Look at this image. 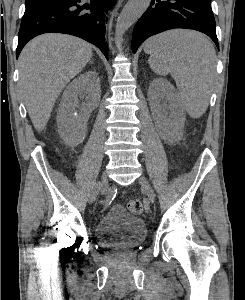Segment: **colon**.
<instances>
[{
  "label": "colon",
  "instance_id": "colon-1",
  "mask_svg": "<svg viewBox=\"0 0 245 300\" xmlns=\"http://www.w3.org/2000/svg\"><path fill=\"white\" fill-rule=\"evenodd\" d=\"M128 209L133 214H141L143 211V204L139 199H132L128 203Z\"/></svg>",
  "mask_w": 245,
  "mask_h": 300
}]
</instances>
